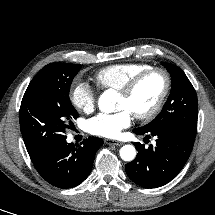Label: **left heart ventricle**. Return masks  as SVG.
Wrapping results in <instances>:
<instances>
[{
	"label": "left heart ventricle",
	"mask_w": 215,
	"mask_h": 215,
	"mask_svg": "<svg viewBox=\"0 0 215 215\" xmlns=\"http://www.w3.org/2000/svg\"><path fill=\"white\" fill-rule=\"evenodd\" d=\"M164 86L160 74L148 76L130 97L119 95L118 109H128L133 115L147 112L158 100Z\"/></svg>",
	"instance_id": "left-heart-ventricle-1"
}]
</instances>
